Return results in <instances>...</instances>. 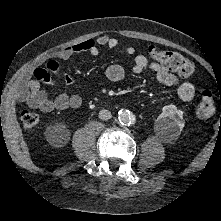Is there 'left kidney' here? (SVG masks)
Wrapping results in <instances>:
<instances>
[{
    "mask_svg": "<svg viewBox=\"0 0 221 221\" xmlns=\"http://www.w3.org/2000/svg\"><path fill=\"white\" fill-rule=\"evenodd\" d=\"M157 130L168 138L180 135L183 127V111L178 110L175 105H167L162 108V113L156 120Z\"/></svg>",
    "mask_w": 221,
    "mask_h": 221,
    "instance_id": "5707ae66",
    "label": "left kidney"
}]
</instances>
